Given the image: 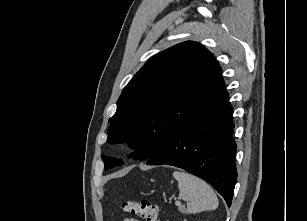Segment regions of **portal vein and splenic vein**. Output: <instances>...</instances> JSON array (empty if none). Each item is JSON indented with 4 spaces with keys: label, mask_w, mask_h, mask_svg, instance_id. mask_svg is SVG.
Instances as JSON below:
<instances>
[{
    "label": "portal vein and splenic vein",
    "mask_w": 307,
    "mask_h": 221,
    "mask_svg": "<svg viewBox=\"0 0 307 221\" xmlns=\"http://www.w3.org/2000/svg\"><path fill=\"white\" fill-rule=\"evenodd\" d=\"M175 205H176V206H180V205H181V202H180V201H176V202H175Z\"/></svg>",
    "instance_id": "portal-vein-and-splenic-vein-1"
}]
</instances>
